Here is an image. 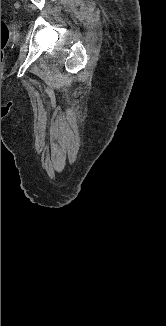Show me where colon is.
Listing matches in <instances>:
<instances>
[{"label":"colon","instance_id":"obj_1","mask_svg":"<svg viewBox=\"0 0 166 326\" xmlns=\"http://www.w3.org/2000/svg\"><path fill=\"white\" fill-rule=\"evenodd\" d=\"M9 40V30L6 23L1 20V64L3 63L4 59V48L7 45Z\"/></svg>","mask_w":166,"mask_h":326}]
</instances>
